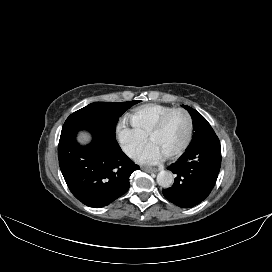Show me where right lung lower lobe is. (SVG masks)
Instances as JSON below:
<instances>
[{"label": "right lung lower lobe", "mask_w": 272, "mask_h": 272, "mask_svg": "<svg viewBox=\"0 0 272 272\" xmlns=\"http://www.w3.org/2000/svg\"><path fill=\"white\" fill-rule=\"evenodd\" d=\"M82 129L93 135L92 143L84 147L75 138ZM58 159L71 193L94 208L104 207L125 194L130 175L140 169L122 152L114 136L80 124L63 125Z\"/></svg>", "instance_id": "obj_1"}]
</instances>
